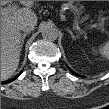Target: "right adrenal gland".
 Listing matches in <instances>:
<instances>
[{
    "label": "right adrenal gland",
    "instance_id": "1",
    "mask_svg": "<svg viewBox=\"0 0 109 109\" xmlns=\"http://www.w3.org/2000/svg\"><path fill=\"white\" fill-rule=\"evenodd\" d=\"M27 34H29V33L25 32V33L22 34V39H21V49H22V47H23L24 39H25V37L27 36Z\"/></svg>",
    "mask_w": 109,
    "mask_h": 109
}]
</instances>
